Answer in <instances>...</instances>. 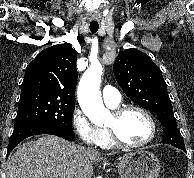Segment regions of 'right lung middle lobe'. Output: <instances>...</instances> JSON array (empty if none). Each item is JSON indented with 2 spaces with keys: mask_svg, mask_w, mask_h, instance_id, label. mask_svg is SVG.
<instances>
[{
  "mask_svg": "<svg viewBox=\"0 0 194 178\" xmlns=\"http://www.w3.org/2000/svg\"><path fill=\"white\" fill-rule=\"evenodd\" d=\"M75 101L58 97H35L19 100L15 127L43 124L61 130H73Z\"/></svg>",
  "mask_w": 194,
  "mask_h": 178,
  "instance_id": "dd1d6c3e",
  "label": "right lung middle lobe"
}]
</instances>
